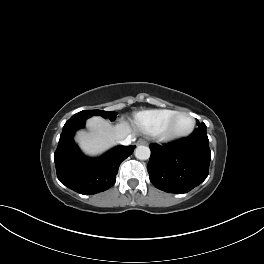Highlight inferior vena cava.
<instances>
[{
    "label": "inferior vena cava",
    "mask_w": 264,
    "mask_h": 264,
    "mask_svg": "<svg viewBox=\"0 0 264 264\" xmlns=\"http://www.w3.org/2000/svg\"><path fill=\"white\" fill-rule=\"evenodd\" d=\"M132 141H133L132 135H128L125 139L121 140L120 143L122 145H126L127 146V145H130Z\"/></svg>",
    "instance_id": "obj_1"
}]
</instances>
